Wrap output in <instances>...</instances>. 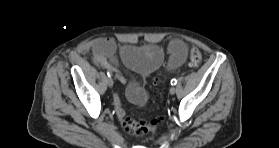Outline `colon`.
I'll list each match as a JSON object with an SVG mask.
<instances>
[{
	"label": "colon",
	"mask_w": 279,
	"mask_h": 148,
	"mask_svg": "<svg viewBox=\"0 0 279 148\" xmlns=\"http://www.w3.org/2000/svg\"><path fill=\"white\" fill-rule=\"evenodd\" d=\"M189 63L193 67H198L202 61L200 51L192 47L188 52ZM123 128L128 132L138 137L151 138L158 132L160 120H137L131 116L121 118Z\"/></svg>",
	"instance_id": "5ec220e1"
}]
</instances>
